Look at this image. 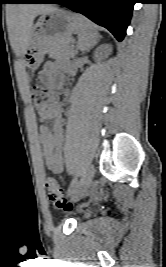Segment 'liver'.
Instances as JSON below:
<instances>
[{"instance_id": "liver-1", "label": "liver", "mask_w": 166, "mask_h": 267, "mask_svg": "<svg viewBox=\"0 0 166 267\" xmlns=\"http://www.w3.org/2000/svg\"><path fill=\"white\" fill-rule=\"evenodd\" d=\"M57 10L51 5H20L12 20L11 44L20 53L27 50L36 16Z\"/></svg>"}]
</instances>
